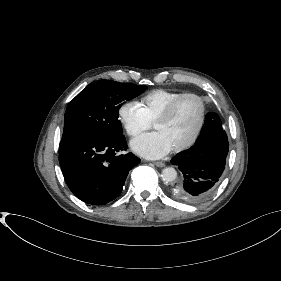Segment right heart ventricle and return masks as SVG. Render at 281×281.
<instances>
[{
	"label": "right heart ventricle",
	"instance_id": "e07e8e85",
	"mask_svg": "<svg viewBox=\"0 0 281 281\" xmlns=\"http://www.w3.org/2000/svg\"><path fill=\"white\" fill-rule=\"evenodd\" d=\"M182 92H175L166 89L152 90L143 95L138 104L142 108L145 116L153 122L156 116L174 99L183 95Z\"/></svg>",
	"mask_w": 281,
	"mask_h": 281
}]
</instances>
